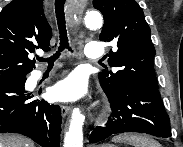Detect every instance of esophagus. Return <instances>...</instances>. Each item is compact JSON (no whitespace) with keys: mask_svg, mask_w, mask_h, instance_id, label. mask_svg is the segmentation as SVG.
Masks as SVG:
<instances>
[{"mask_svg":"<svg viewBox=\"0 0 183 147\" xmlns=\"http://www.w3.org/2000/svg\"><path fill=\"white\" fill-rule=\"evenodd\" d=\"M71 111V107L68 106V105H62L61 106V113H62V116L65 117L66 115H68Z\"/></svg>","mask_w":183,"mask_h":147,"instance_id":"obj_1","label":"esophagus"}]
</instances>
